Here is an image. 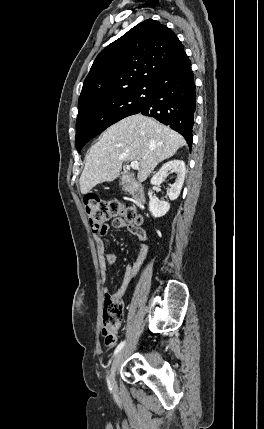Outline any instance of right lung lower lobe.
<instances>
[{"instance_id": "right-lung-lower-lobe-1", "label": "right lung lower lobe", "mask_w": 264, "mask_h": 429, "mask_svg": "<svg viewBox=\"0 0 264 429\" xmlns=\"http://www.w3.org/2000/svg\"><path fill=\"white\" fill-rule=\"evenodd\" d=\"M195 96L191 63L184 53L154 82L152 95L139 113L169 125L191 149Z\"/></svg>"}]
</instances>
